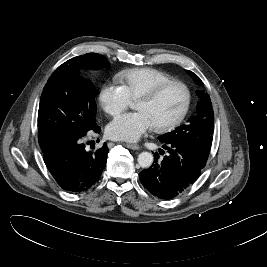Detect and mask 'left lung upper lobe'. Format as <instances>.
Listing matches in <instances>:
<instances>
[{
  "label": "left lung upper lobe",
  "instance_id": "5c2ea615",
  "mask_svg": "<svg viewBox=\"0 0 267 267\" xmlns=\"http://www.w3.org/2000/svg\"><path fill=\"white\" fill-rule=\"evenodd\" d=\"M189 74L198 85H203L201 79L189 71ZM200 103L197 105V114L192 116L188 122L166 133L159 138V141L166 143H184L197 149L204 157L208 158L212 144L214 128V116L211 99L204 91H197Z\"/></svg>",
  "mask_w": 267,
  "mask_h": 267
}]
</instances>
